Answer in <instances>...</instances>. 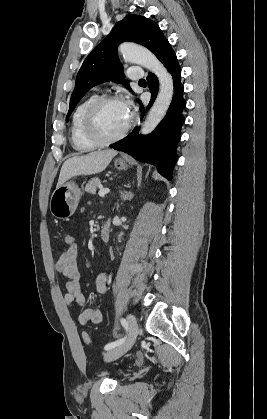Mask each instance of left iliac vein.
I'll return each mask as SVG.
<instances>
[{
  "label": "left iliac vein",
  "instance_id": "obj_1",
  "mask_svg": "<svg viewBox=\"0 0 267 419\" xmlns=\"http://www.w3.org/2000/svg\"><path fill=\"white\" fill-rule=\"evenodd\" d=\"M127 322L129 326V332L125 340L118 346L108 350L104 358L106 361H114L124 355L135 343L138 335V324L136 318L129 314L127 316Z\"/></svg>",
  "mask_w": 267,
  "mask_h": 419
}]
</instances>
